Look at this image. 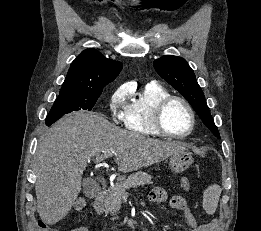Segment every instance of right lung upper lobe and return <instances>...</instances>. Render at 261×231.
Instances as JSON below:
<instances>
[{
  "label": "right lung upper lobe",
  "instance_id": "right-lung-upper-lobe-1",
  "mask_svg": "<svg viewBox=\"0 0 261 231\" xmlns=\"http://www.w3.org/2000/svg\"><path fill=\"white\" fill-rule=\"evenodd\" d=\"M121 69L119 61L107 59L95 49L84 50L71 63L60 92L102 91Z\"/></svg>",
  "mask_w": 261,
  "mask_h": 231
}]
</instances>
